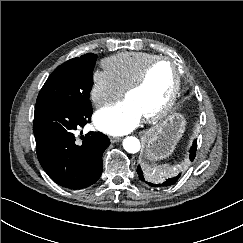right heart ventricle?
<instances>
[{"label": "right heart ventricle", "mask_w": 243, "mask_h": 243, "mask_svg": "<svg viewBox=\"0 0 243 243\" xmlns=\"http://www.w3.org/2000/svg\"><path fill=\"white\" fill-rule=\"evenodd\" d=\"M157 56L147 52H123L106 58L103 66L124 90L141 73L145 65Z\"/></svg>", "instance_id": "1"}]
</instances>
